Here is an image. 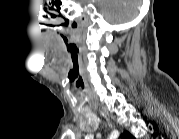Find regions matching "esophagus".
Wrapping results in <instances>:
<instances>
[{"label": "esophagus", "instance_id": "34e87169", "mask_svg": "<svg viewBox=\"0 0 179 139\" xmlns=\"http://www.w3.org/2000/svg\"><path fill=\"white\" fill-rule=\"evenodd\" d=\"M100 115H101L103 121H104L107 125H109L110 127H113V123H112V121L110 120V118L107 116V114H105L104 112L100 111Z\"/></svg>", "mask_w": 179, "mask_h": 139}]
</instances>
